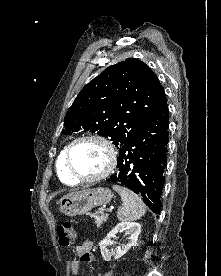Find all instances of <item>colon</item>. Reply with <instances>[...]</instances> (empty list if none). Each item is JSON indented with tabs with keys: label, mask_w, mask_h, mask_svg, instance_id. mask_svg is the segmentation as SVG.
Returning a JSON list of instances; mask_svg holds the SVG:
<instances>
[{
	"label": "colon",
	"mask_w": 221,
	"mask_h": 276,
	"mask_svg": "<svg viewBox=\"0 0 221 276\" xmlns=\"http://www.w3.org/2000/svg\"><path fill=\"white\" fill-rule=\"evenodd\" d=\"M57 235L59 245L62 247H70L76 241V232L69 221H64L57 227ZM105 276H113V269H110Z\"/></svg>",
	"instance_id": "5ec220e1"
}]
</instances>
